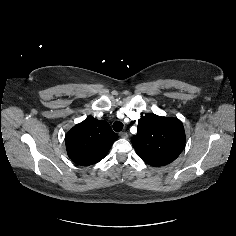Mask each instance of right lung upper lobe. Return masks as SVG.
Wrapping results in <instances>:
<instances>
[{
  "instance_id": "obj_1",
  "label": "right lung upper lobe",
  "mask_w": 236,
  "mask_h": 236,
  "mask_svg": "<svg viewBox=\"0 0 236 236\" xmlns=\"http://www.w3.org/2000/svg\"><path fill=\"white\" fill-rule=\"evenodd\" d=\"M117 138L106 121L88 117L67 133L65 143L73 162L89 166L101 161Z\"/></svg>"
}]
</instances>
